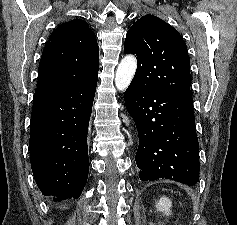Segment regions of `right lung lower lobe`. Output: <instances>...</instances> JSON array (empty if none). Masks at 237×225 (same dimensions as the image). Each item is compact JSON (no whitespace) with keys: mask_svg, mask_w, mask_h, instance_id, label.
Wrapping results in <instances>:
<instances>
[{"mask_svg":"<svg viewBox=\"0 0 237 225\" xmlns=\"http://www.w3.org/2000/svg\"><path fill=\"white\" fill-rule=\"evenodd\" d=\"M97 80L33 100L29 140L34 179L53 201L79 198L87 182V133Z\"/></svg>","mask_w":237,"mask_h":225,"instance_id":"1","label":"right lung lower lobe"}]
</instances>
